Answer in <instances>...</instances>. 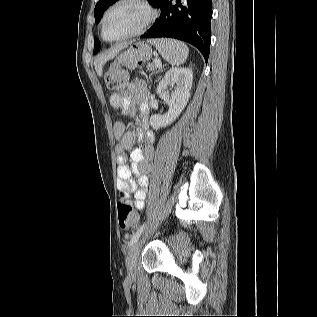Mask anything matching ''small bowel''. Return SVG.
<instances>
[{
    "label": "small bowel",
    "instance_id": "obj_1",
    "mask_svg": "<svg viewBox=\"0 0 317 317\" xmlns=\"http://www.w3.org/2000/svg\"><path fill=\"white\" fill-rule=\"evenodd\" d=\"M111 106L126 116L139 115V128L136 134L126 130L122 121L113 126V134L117 143V185L126 196L133 195L135 206L142 210L147 197L149 185L148 173L151 170L149 160L154 156L155 135L149 129L148 88L140 78H134L122 94H113L110 97ZM135 138L145 141V148H133ZM130 151L131 165L126 164L127 152ZM138 180L135 182L132 176Z\"/></svg>",
    "mask_w": 317,
    "mask_h": 317
}]
</instances>
